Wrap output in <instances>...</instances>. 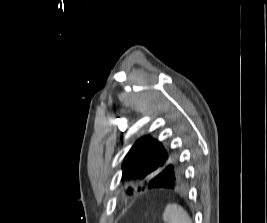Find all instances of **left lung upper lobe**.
I'll use <instances>...</instances> for the list:
<instances>
[{"mask_svg":"<svg viewBox=\"0 0 267 223\" xmlns=\"http://www.w3.org/2000/svg\"><path fill=\"white\" fill-rule=\"evenodd\" d=\"M122 169L121 181L132 184L127 189L128 194L139 191L138 183L152 181L154 173L183 171L174 150L149 136L142 137L133 145L126 155Z\"/></svg>","mask_w":267,"mask_h":223,"instance_id":"left-lung-upper-lobe-1","label":"left lung upper lobe"}]
</instances>
